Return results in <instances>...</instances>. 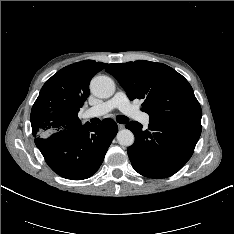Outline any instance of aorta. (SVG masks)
<instances>
[{"mask_svg":"<svg viewBox=\"0 0 234 234\" xmlns=\"http://www.w3.org/2000/svg\"><path fill=\"white\" fill-rule=\"evenodd\" d=\"M90 89L99 98H110L115 92V84L110 77L96 76L90 83ZM117 141L122 146H131L134 143V134L128 129L120 130Z\"/></svg>","mask_w":234,"mask_h":234,"instance_id":"1","label":"aorta"}]
</instances>
